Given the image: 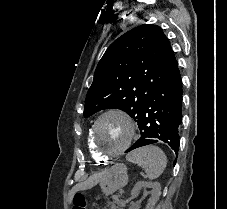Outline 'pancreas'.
I'll list each match as a JSON object with an SVG mask.
<instances>
[{
	"label": "pancreas",
	"instance_id": "obj_1",
	"mask_svg": "<svg viewBox=\"0 0 227 209\" xmlns=\"http://www.w3.org/2000/svg\"><path fill=\"white\" fill-rule=\"evenodd\" d=\"M118 202L117 197H114L113 203L109 205V209H117L119 207Z\"/></svg>",
	"mask_w": 227,
	"mask_h": 209
}]
</instances>
